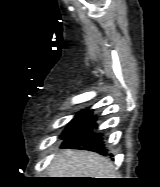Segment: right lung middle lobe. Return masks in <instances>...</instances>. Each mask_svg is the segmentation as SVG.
Here are the masks:
<instances>
[{
	"instance_id": "dd1d6c3e",
	"label": "right lung middle lobe",
	"mask_w": 160,
	"mask_h": 187,
	"mask_svg": "<svg viewBox=\"0 0 160 187\" xmlns=\"http://www.w3.org/2000/svg\"><path fill=\"white\" fill-rule=\"evenodd\" d=\"M92 116V111H83L76 115V117L70 122L66 130L63 132V136H69L76 132L80 127H82Z\"/></svg>"
}]
</instances>
